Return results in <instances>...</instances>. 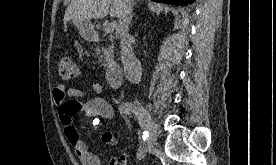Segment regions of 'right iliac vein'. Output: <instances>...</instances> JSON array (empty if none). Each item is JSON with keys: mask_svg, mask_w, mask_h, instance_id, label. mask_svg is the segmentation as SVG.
Segmentation results:
<instances>
[{"mask_svg": "<svg viewBox=\"0 0 276 165\" xmlns=\"http://www.w3.org/2000/svg\"><path fill=\"white\" fill-rule=\"evenodd\" d=\"M138 111L141 113V115L145 121V127L148 132L146 153H151L155 147V137H156L155 132H154V129H155L154 122L151 118L150 113L143 105L139 104Z\"/></svg>", "mask_w": 276, "mask_h": 165, "instance_id": "obj_1", "label": "right iliac vein"}]
</instances>
